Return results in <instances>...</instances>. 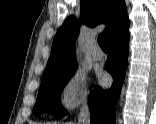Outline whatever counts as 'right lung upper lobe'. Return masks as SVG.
<instances>
[{
  "mask_svg": "<svg viewBox=\"0 0 156 124\" xmlns=\"http://www.w3.org/2000/svg\"><path fill=\"white\" fill-rule=\"evenodd\" d=\"M81 23L89 27L106 24L109 41L129 29V20L124 0H81ZM79 23L69 16L56 33L51 54L42 78L57 75L77 67L75 40Z\"/></svg>",
  "mask_w": 156,
  "mask_h": 124,
  "instance_id": "cb5924a9",
  "label": "right lung upper lobe"
}]
</instances>
